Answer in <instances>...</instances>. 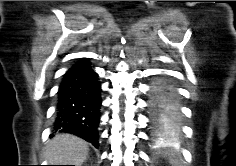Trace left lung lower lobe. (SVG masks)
<instances>
[{"label": "left lung lower lobe", "mask_w": 236, "mask_h": 166, "mask_svg": "<svg viewBox=\"0 0 236 166\" xmlns=\"http://www.w3.org/2000/svg\"><path fill=\"white\" fill-rule=\"evenodd\" d=\"M149 110L155 142L163 144L174 140L179 132L180 110L175 86L170 81L155 82Z\"/></svg>", "instance_id": "0a47b994"}]
</instances>
